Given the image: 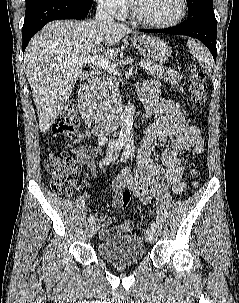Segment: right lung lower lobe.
I'll return each mask as SVG.
<instances>
[{"label": "right lung lower lobe", "mask_w": 239, "mask_h": 303, "mask_svg": "<svg viewBox=\"0 0 239 303\" xmlns=\"http://www.w3.org/2000/svg\"><path fill=\"white\" fill-rule=\"evenodd\" d=\"M93 0H31L27 2L22 28L23 51L31 37L45 24L57 19H82Z\"/></svg>", "instance_id": "right-lung-lower-lobe-1"}]
</instances>
